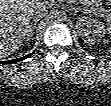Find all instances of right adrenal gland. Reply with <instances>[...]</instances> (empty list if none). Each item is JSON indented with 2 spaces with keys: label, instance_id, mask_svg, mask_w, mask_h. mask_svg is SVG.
Returning a JSON list of instances; mask_svg holds the SVG:
<instances>
[{
  "label": "right adrenal gland",
  "instance_id": "2a0ac1e0",
  "mask_svg": "<svg viewBox=\"0 0 111 106\" xmlns=\"http://www.w3.org/2000/svg\"><path fill=\"white\" fill-rule=\"evenodd\" d=\"M39 21V19H34L31 24L28 26V32H27V40H30L31 37L34 35V29L36 28V23Z\"/></svg>",
  "mask_w": 111,
  "mask_h": 106
}]
</instances>
